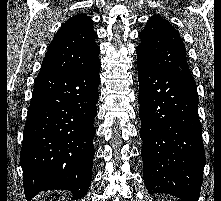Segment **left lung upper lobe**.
<instances>
[{
  "instance_id": "1",
  "label": "left lung upper lobe",
  "mask_w": 221,
  "mask_h": 201,
  "mask_svg": "<svg viewBox=\"0 0 221 201\" xmlns=\"http://www.w3.org/2000/svg\"><path fill=\"white\" fill-rule=\"evenodd\" d=\"M139 37L141 43L136 49L137 60L154 69L194 80L180 34L163 17H150Z\"/></svg>"
}]
</instances>
